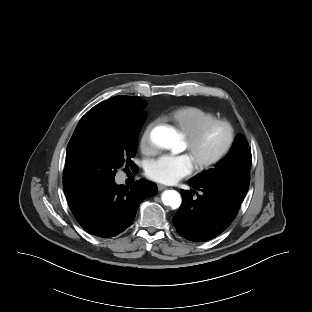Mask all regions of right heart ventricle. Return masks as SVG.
<instances>
[{
	"label": "right heart ventricle",
	"instance_id": "e07e8e85",
	"mask_svg": "<svg viewBox=\"0 0 312 312\" xmlns=\"http://www.w3.org/2000/svg\"><path fill=\"white\" fill-rule=\"evenodd\" d=\"M216 117L214 113L199 107L182 106L167 112L162 119L172 123L184 136H187Z\"/></svg>",
	"mask_w": 312,
	"mask_h": 312
}]
</instances>
